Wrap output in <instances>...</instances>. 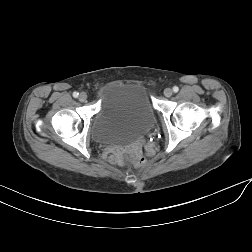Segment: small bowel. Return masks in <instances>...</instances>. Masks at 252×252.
I'll return each instance as SVG.
<instances>
[{
  "mask_svg": "<svg viewBox=\"0 0 252 252\" xmlns=\"http://www.w3.org/2000/svg\"><path fill=\"white\" fill-rule=\"evenodd\" d=\"M137 150L139 151L140 150V146L137 147ZM122 156H124V152L122 151H119V150H113L111 152V157L115 160H118L120 159Z\"/></svg>",
  "mask_w": 252,
  "mask_h": 252,
  "instance_id": "small-bowel-1",
  "label": "small bowel"
}]
</instances>
